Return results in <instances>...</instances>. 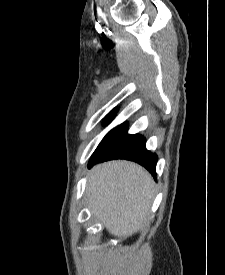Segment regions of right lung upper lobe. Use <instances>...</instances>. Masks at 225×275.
<instances>
[{
  "mask_svg": "<svg viewBox=\"0 0 225 275\" xmlns=\"http://www.w3.org/2000/svg\"><path fill=\"white\" fill-rule=\"evenodd\" d=\"M108 115L109 116H114L115 115V111H111Z\"/></svg>",
  "mask_w": 225,
  "mask_h": 275,
  "instance_id": "1",
  "label": "right lung upper lobe"
}]
</instances>
